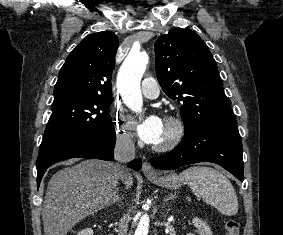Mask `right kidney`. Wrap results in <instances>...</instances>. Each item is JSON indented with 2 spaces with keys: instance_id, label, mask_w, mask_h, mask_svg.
<instances>
[{
  "instance_id": "ca27d5eb",
  "label": "right kidney",
  "mask_w": 283,
  "mask_h": 235,
  "mask_svg": "<svg viewBox=\"0 0 283 235\" xmlns=\"http://www.w3.org/2000/svg\"><path fill=\"white\" fill-rule=\"evenodd\" d=\"M93 230L91 228H86L80 231L77 235H93Z\"/></svg>"
}]
</instances>
